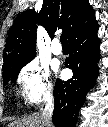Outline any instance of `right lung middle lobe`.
Wrapping results in <instances>:
<instances>
[{"instance_id":"1","label":"right lung middle lobe","mask_w":108,"mask_h":127,"mask_svg":"<svg viewBox=\"0 0 108 127\" xmlns=\"http://www.w3.org/2000/svg\"><path fill=\"white\" fill-rule=\"evenodd\" d=\"M33 58L23 60L21 62L11 64V65H4L3 66V74H4V85L7 84L9 80L15 81L19 74L20 69L25 66L28 62H30Z\"/></svg>"}]
</instances>
